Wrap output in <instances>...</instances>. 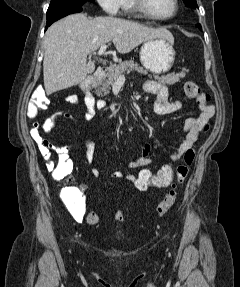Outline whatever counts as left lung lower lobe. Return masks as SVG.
<instances>
[{"instance_id": "obj_1", "label": "left lung lower lobe", "mask_w": 240, "mask_h": 287, "mask_svg": "<svg viewBox=\"0 0 240 287\" xmlns=\"http://www.w3.org/2000/svg\"><path fill=\"white\" fill-rule=\"evenodd\" d=\"M198 28H199L200 30L202 29L200 24L198 25Z\"/></svg>"}]
</instances>
